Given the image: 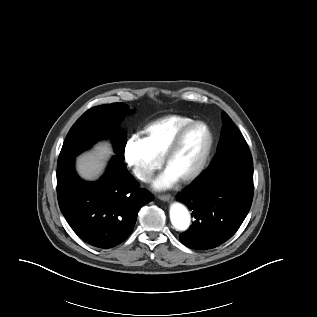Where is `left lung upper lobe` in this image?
Here are the masks:
<instances>
[{
  "label": "left lung upper lobe",
  "instance_id": "1",
  "mask_svg": "<svg viewBox=\"0 0 317 317\" xmlns=\"http://www.w3.org/2000/svg\"><path fill=\"white\" fill-rule=\"evenodd\" d=\"M222 116L221 137L217 146V153L209 168L217 171L231 162L253 165L252 156L244 137L225 112Z\"/></svg>",
  "mask_w": 317,
  "mask_h": 317
}]
</instances>
